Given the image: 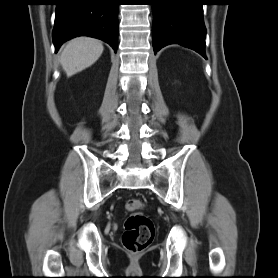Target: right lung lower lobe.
<instances>
[{"label": "right lung lower lobe", "instance_id": "right-lung-lower-lobe-1", "mask_svg": "<svg viewBox=\"0 0 278 278\" xmlns=\"http://www.w3.org/2000/svg\"><path fill=\"white\" fill-rule=\"evenodd\" d=\"M53 43L55 51L65 41L86 35L107 42L116 52L118 0H56Z\"/></svg>", "mask_w": 278, "mask_h": 278}]
</instances>
